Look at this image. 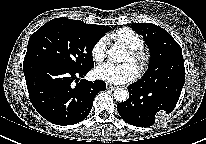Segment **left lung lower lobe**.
Segmentation results:
<instances>
[{"mask_svg": "<svg viewBox=\"0 0 206 144\" xmlns=\"http://www.w3.org/2000/svg\"><path fill=\"white\" fill-rule=\"evenodd\" d=\"M184 83L185 74H178L151 86L135 82L128 87L129 99L118 103V113L133 126H152L158 115L174 110Z\"/></svg>", "mask_w": 206, "mask_h": 144, "instance_id": "obj_1", "label": "left lung lower lobe"}]
</instances>
